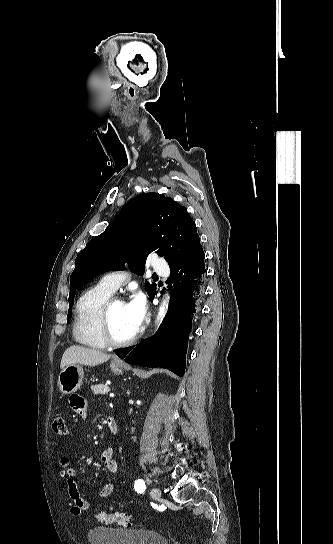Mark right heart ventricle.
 I'll return each mask as SVG.
<instances>
[{
  "label": "right heart ventricle",
  "mask_w": 333,
  "mask_h": 544,
  "mask_svg": "<svg viewBox=\"0 0 333 544\" xmlns=\"http://www.w3.org/2000/svg\"><path fill=\"white\" fill-rule=\"evenodd\" d=\"M113 292L98 283L85 290L75 306L73 336L87 347L103 349L107 346L100 330V315Z\"/></svg>",
  "instance_id": "e07e8e85"
}]
</instances>
